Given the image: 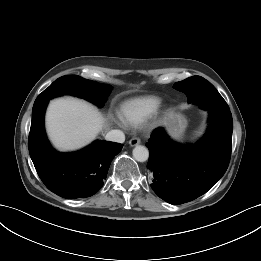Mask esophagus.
Here are the masks:
<instances>
[{
    "label": "esophagus",
    "mask_w": 261,
    "mask_h": 261,
    "mask_svg": "<svg viewBox=\"0 0 261 261\" xmlns=\"http://www.w3.org/2000/svg\"><path fill=\"white\" fill-rule=\"evenodd\" d=\"M129 144H130V146H132V147L137 146V145L140 144V139L134 137V138L130 139Z\"/></svg>",
    "instance_id": "1"
}]
</instances>
